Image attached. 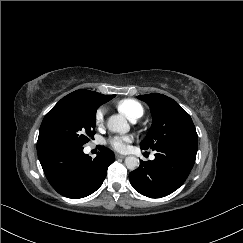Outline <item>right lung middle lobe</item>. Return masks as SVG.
I'll return each mask as SVG.
<instances>
[{"label": "right lung middle lobe", "mask_w": 243, "mask_h": 243, "mask_svg": "<svg viewBox=\"0 0 243 243\" xmlns=\"http://www.w3.org/2000/svg\"><path fill=\"white\" fill-rule=\"evenodd\" d=\"M97 108L60 100L42 121L37 150L55 145L83 146L94 138Z\"/></svg>", "instance_id": "right-lung-middle-lobe-1"}]
</instances>
